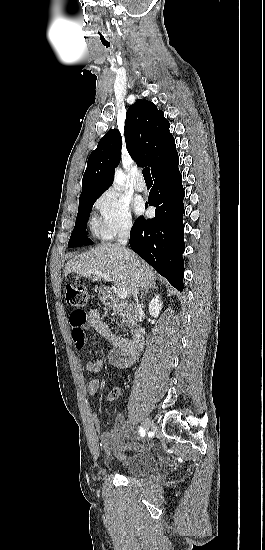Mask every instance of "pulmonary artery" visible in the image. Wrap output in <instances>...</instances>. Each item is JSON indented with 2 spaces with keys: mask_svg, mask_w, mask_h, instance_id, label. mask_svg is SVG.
Here are the masks:
<instances>
[{
  "mask_svg": "<svg viewBox=\"0 0 265 550\" xmlns=\"http://www.w3.org/2000/svg\"><path fill=\"white\" fill-rule=\"evenodd\" d=\"M139 177L141 178V175H140ZM135 189H136V191H138V192H143V191H145V189H146V183H145L142 179L138 180V181L135 183Z\"/></svg>",
  "mask_w": 265,
  "mask_h": 550,
  "instance_id": "1",
  "label": "pulmonary artery"
}]
</instances>
